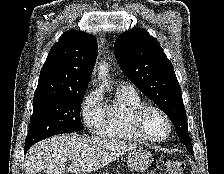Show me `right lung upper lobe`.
<instances>
[{"label":"right lung upper lobe","mask_w":224,"mask_h":174,"mask_svg":"<svg viewBox=\"0 0 224 174\" xmlns=\"http://www.w3.org/2000/svg\"><path fill=\"white\" fill-rule=\"evenodd\" d=\"M98 53L95 37L69 30L50 50L34 97H66L84 94Z\"/></svg>","instance_id":"right-lung-upper-lobe-1"}]
</instances>
